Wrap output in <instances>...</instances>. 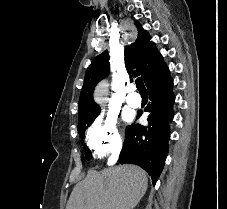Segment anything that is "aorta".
<instances>
[{
    "label": "aorta",
    "instance_id": "aorta-1",
    "mask_svg": "<svg viewBox=\"0 0 227 209\" xmlns=\"http://www.w3.org/2000/svg\"><path fill=\"white\" fill-rule=\"evenodd\" d=\"M107 87L106 83H101L97 89L96 92V99L97 101H102L103 100V96L105 94V88Z\"/></svg>",
    "mask_w": 227,
    "mask_h": 209
}]
</instances>
